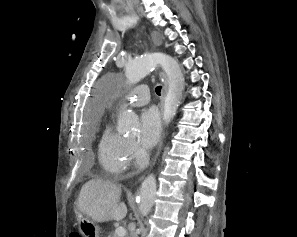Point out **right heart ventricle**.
<instances>
[{"instance_id":"e07e8e85","label":"right heart ventricle","mask_w":297,"mask_h":237,"mask_svg":"<svg viewBox=\"0 0 297 237\" xmlns=\"http://www.w3.org/2000/svg\"><path fill=\"white\" fill-rule=\"evenodd\" d=\"M98 161L102 169L115 176L129 165L128 141L106 125L98 144Z\"/></svg>"}]
</instances>
